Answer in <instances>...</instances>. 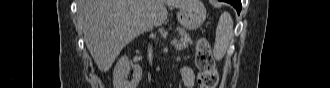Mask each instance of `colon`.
Wrapping results in <instances>:
<instances>
[{
  "label": "colon",
  "mask_w": 330,
  "mask_h": 88,
  "mask_svg": "<svg viewBox=\"0 0 330 88\" xmlns=\"http://www.w3.org/2000/svg\"><path fill=\"white\" fill-rule=\"evenodd\" d=\"M196 66L199 70L198 82L200 88H215L219 75L211 47L205 38H200L196 44Z\"/></svg>",
  "instance_id": "obj_1"
}]
</instances>
